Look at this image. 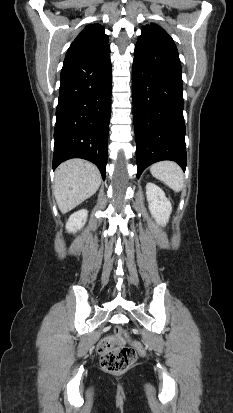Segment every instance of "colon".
I'll return each instance as SVG.
<instances>
[{"mask_svg": "<svg viewBox=\"0 0 233 413\" xmlns=\"http://www.w3.org/2000/svg\"><path fill=\"white\" fill-rule=\"evenodd\" d=\"M124 338V330L115 327L113 334L105 337L99 343L100 364L106 372L123 373L127 371L134 364L137 352H143V347L139 342L127 346L123 343Z\"/></svg>", "mask_w": 233, "mask_h": 413, "instance_id": "1", "label": "colon"}]
</instances>
